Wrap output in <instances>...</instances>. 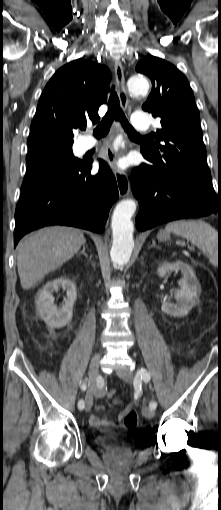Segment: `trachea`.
I'll return each mask as SVG.
<instances>
[{"label":"trachea","instance_id":"1","mask_svg":"<svg viewBox=\"0 0 221 510\" xmlns=\"http://www.w3.org/2000/svg\"><path fill=\"white\" fill-rule=\"evenodd\" d=\"M114 120L119 121L121 123L122 127L129 136L141 137L140 134L133 129V127L129 124L128 120L126 119L122 109L120 108V101L117 96V93L115 92L114 87H112V91L108 102V110L105 116L102 118V121L94 129L93 131L94 136L96 138L105 137L108 134L111 124L113 123Z\"/></svg>","mask_w":221,"mask_h":510}]
</instances>
